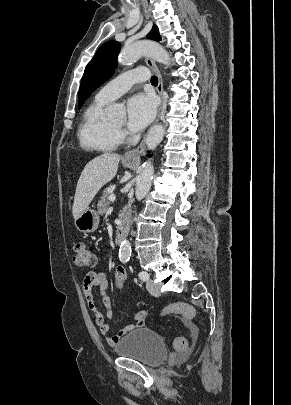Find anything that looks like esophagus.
Here are the masks:
<instances>
[{"instance_id": "esophagus-1", "label": "esophagus", "mask_w": 291, "mask_h": 405, "mask_svg": "<svg viewBox=\"0 0 291 405\" xmlns=\"http://www.w3.org/2000/svg\"><path fill=\"white\" fill-rule=\"evenodd\" d=\"M144 61H145L146 65L156 74V76L158 78L157 92L161 98V105L159 107L158 115L155 120V122H158L163 113L164 107H165V99H164V95H163V91H164L163 78H162V74L154 60H152L150 58H145ZM144 150H145V138L141 141V143L135 149H132V150L126 152L124 154V159H127V160L138 159V158H140V155L143 153Z\"/></svg>"}]
</instances>
